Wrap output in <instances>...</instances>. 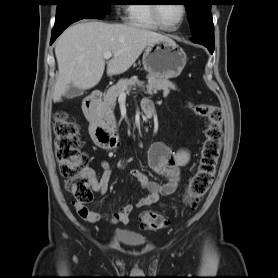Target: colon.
<instances>
[{"label": "colon", "mask_w": 278, "mask_h": 278, "mask_svg": "<svg viewBox=\"0 0 278 278\" xmlns=\"http://www.w3.org/2000/svg\"><path fill=\"white\" fill-rule=\"evenodd\" d=\"M193 112L207 120L204 141L198 168L191 177L185 201L195 209L211 186L220 156L223 113L212 104H191ZM55 135V155L61 175L65 178L66 189L74 196L75 202L85 205L91 202L93 172L88 166V156L81 150V140L77 124L66 112H58L53 120ZM142 228L158 230L166 228L167 220L155 212L139 216Z\"/></svg>", "instance_id": "obj_1"}]
</instances>
